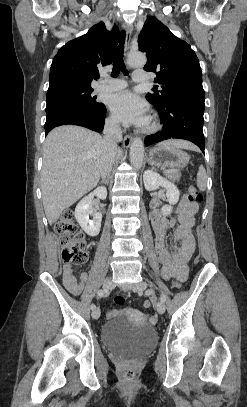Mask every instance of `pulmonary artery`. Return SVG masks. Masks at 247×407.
Instances as JSON below:
<instances>
[{
	"instance_id": "e3ab8cb5",
	"label": "pulmonary artery",
	"mask_w": 247,
	"mask_h": 407,
	"mask_svg": "<svg viewBox=\"0 0 247 407\" xmlns=\"http://www.w3.org/2000/svg\"><path fill=\"white\" fill-rule=\"evenodd\" d=\"M135 83H146L149 80L148 73L142 70H135L132 77ZM127 87V82L122 79L102 80L98 85L99 91H116Z\"/></svg>"
}]
</instances>
